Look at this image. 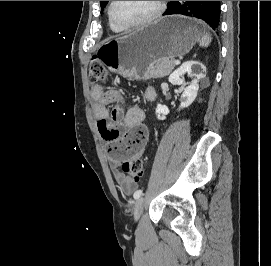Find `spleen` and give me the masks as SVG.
<instances>
[{
  "mask_svg": "<svg viewBox=\"0 0 271 266\" xmlns=\"http://www.w3.org/2000/svg\"><path fill=\"white\" fill-rule=\"evenodd\" d=\"M211 40H212V38H211L210 34H209V33H206V34H204V35L201 37V39L199 40V45H200L201 47H208L209 44L211 43Z\"/></svg>",
  "mask_w": 271,
  "mask_h": 266,
  "instance_id": "1",
  "label": "spleen"
}]
</instances>
